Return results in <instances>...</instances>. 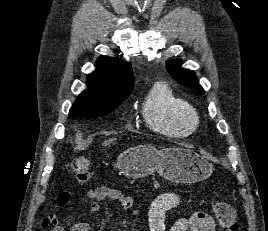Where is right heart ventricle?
I'll return each mask as SVG.
<instances>
[{
  "instance_id": "e07e8e85",
  "label": "right heart ventricle",
  "mask_w": 268,
  "mask_h": 231,
  "mask_svg": "<svg viewBox=\"0 0 268 231\" xmlns=\"http://www.w3.org/2000/svg\"><path fill=\"white\" fill-rule=\"evenodd\" d=\"M142 117L153 131L171 137H186L199 123L196 110L166 85L156 84L142 105Z\"/></svg>"
}]
</instances>
